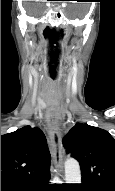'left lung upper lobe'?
I'll return each mask as SVG.
<instances>
[{"label":"left lung upper lobe","instance_id":"5c2ea615","mask_svg":"<svg viewBox=\"0 0 115 191\" xmlns=\"http://www.w3.org/2000/svg\"><path fill=\"white\" fill-rule=\"evenodd\" d=\"M63 144L80 163L82 186L115 191V140L109 132L76 123Z\"/></svg>","mask_w":115,"mask_h":191}]
</instances>
